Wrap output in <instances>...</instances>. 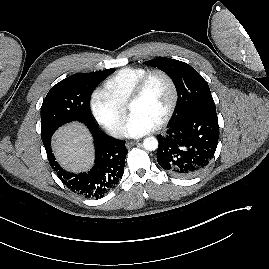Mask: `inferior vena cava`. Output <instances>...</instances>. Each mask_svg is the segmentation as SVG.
I'll list each match as a JSON object with an SVG mask.
<instances>
[{
  "instance_id": "602c4592",
  "label": "inferior vena cava",
  "mask_w": 269,
  "mask_h": 269,
  "mask_svg": "<svg viewBox=\"0 0 269 269\" xmlns=\"http://www.w3.org/2000/svg\"><path fill=\"white\" fill-rule=\"evenodd\" d=\"M115 135H116L117 137H124L125 132H124V130H123L122 128H118V129L115 131Z\"/></svg>"
}]
</instances>
